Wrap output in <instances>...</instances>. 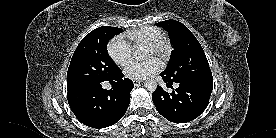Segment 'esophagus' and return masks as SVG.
Segmentation results:
<instances>
[{
    "instance_id": "esophagus-1",
    "label": "esophagus",
    "mask_w": 276,
    "mask_h": 138,
    "mask_svg": "<svg viewBox=\"0 0 276 138\" xmlns=\"http://www.w3.org/2000/svg\"><path fill=\"white\" fill-rule=\"evenodd\" d=\"M140 83H142L141 80H133V84H134L135 86H138Z\"/></svg>"
}]
</instances>
